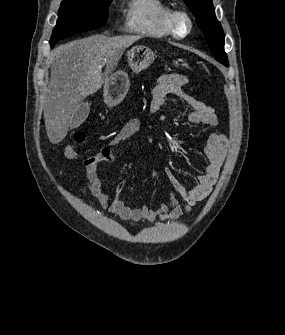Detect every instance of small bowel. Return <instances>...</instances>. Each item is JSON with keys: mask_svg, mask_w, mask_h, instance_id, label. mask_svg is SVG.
<instances>
[{"mask_svg": "<svg viewBox=\"0 0 285 335\" xmlns=\"http://www.w3.org/2000/svg\"><path fill=\"white\" fill-rule=\"evenodd\" d=\"M188 84V79L181 74H167L159 78L151 93V113L157 114L165 104L169 96L180 98L189 108L187 121L192 125L216 127L218 125L214 110L204 102L188 94L184 87ZM142 128V123L138 119H132L125 123L120 131L103 147L96 155L86 159L85 178L86 185L93 192L99 204L114 216L122 220L141 222L155 221L156 219L167 220L176 219L181 215L191 211L192 207L202 201L211 192L217 181L225 157L228 144L224 134L213 132L209 135L204 152L207 164L202 174L197 177L194 187L185 188L169 170H165L166 175L172 185L170 197L157 210L150 209L146 204L133 208L122 199V194L126 189V182L117 184L114 196H111L104 189V184L98 175V168L101 163L115 162L121 154L113 150L117 146ZM184 202V206L179 201Z\"/></svg>", "mask_w": 285, "mask_h": 335, "instance_id": "1", "label": "small bowel"}]
</instances>
